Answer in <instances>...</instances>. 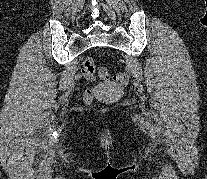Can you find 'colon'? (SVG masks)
Returning <instances> with one entry per match:
<instances>
[{
  "label": "colon",
  "mask_w": 207,
  "mask_h": 179,
  "mask_svg": "<svg viewBox=\"0 0 207 179\" xmlns=\"http://www.w3.org/2000/svg\"><path fill=\"white\" fill-rule=\"evenodd\" d=\"M94 61L92 58L88 57L83 64V74L88 78V79H94ZM98 75L102 79H109L110 74L109 71L106 68H100L98 71ZM114 79L121 83L125 84L128 81V74L126 72H118L115 76ZM95 96L94 90L93 89H86L83 93V100L87 103H90L93 101Z\"/></svg>",
  "instance_id": "1"
}]
</instances>
